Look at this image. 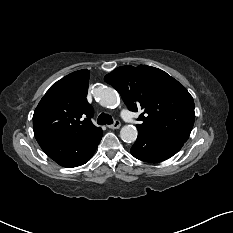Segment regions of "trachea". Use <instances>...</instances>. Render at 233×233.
Segmentation results:
<instances>
[{
    "label": "trachea",
    "instance_id": "trachea-1",
    "mask_svg": "<svg viewBox=\"0 0 233 233\" xmlns=\"http://www.w3.org/2000/svg\"><path fill=\"white\" fill-rule=\"evenodd\" d=\"M97 123L99 125L113 124V119L110 115L101 113L98 117Z\"/></svg>",
    "mask_w": 233,
    "mask_h": 233
}]
</instances>
